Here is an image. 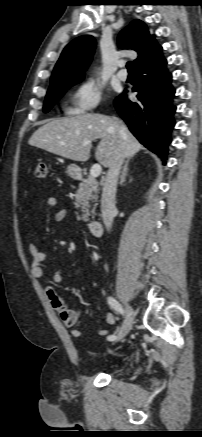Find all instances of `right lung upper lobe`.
<instances>
[{"label":"right lung upper lobe","instance_id":"right-lung-upper-lobe-1","mask_svg":"<svg viewBox=\"0 0 202 437\" xmlns=\"http://www.w3.org/2000/svg\"><path fill=\"white\" fill-rule=\"evenodd\" d=\"M121 48H131L138 53L135 67L149 63L162 54V47L149 34L146 24L134 20L124 28L119 36ZM96 48V40L91 35H83L72 40L63 50L51 76V85L57 82L84 76Z\"/></svg>","mask_w":202,"mask_h":437}]
</instances>
